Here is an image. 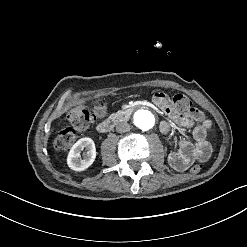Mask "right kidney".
<instances>
[{
  "label": "right kidney",
  "mask_w": 247,
  "mask_h": 247,
  "mask_svg": "<svg viewBox=\"0 0 247 247\" xmlns=\"http://www.w3.org/2000/svg\"><path fill=\"white\" fill-rule=\"evenodd\" d=\"M85 149L83 158H81V152ZM96 157V149L94 141L91 138L79 139L71 148L68 157L67 164L74 171H83L87 169L94 162Z\"/></svg>",
  "instance_id": "ca27d5eb"
}]
</instances>
